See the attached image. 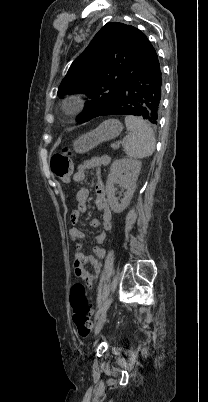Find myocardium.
Listing matches in <instances>:
<instances>
[{
  "label": "myocardium",
  "mask_w": 208,
  "mask_h": 402,
  "mask_svg": "<svg viewBox=\"0 0 208 402\" xmlns=\"http://www.w3.org/2000/svg\"><path fill=\"white\" fill-rule=\"evenodd\" d=\"M86 105V100L81 95H69L61 103V111L66 116L80 113Z\"/></svg>",
  "instance_id": "myocardium-1"
}]
</instances>
